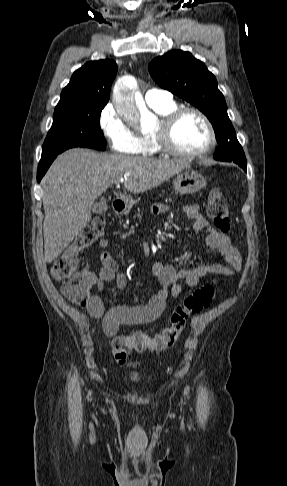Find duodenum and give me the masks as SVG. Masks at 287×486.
<instances>
[{
    "label": "duodenum",
    "mask_w": 287,
    "mask_h": 486,
    "mask_svg": "<svg viewBox=\"0 0 287 486\" xmlns=\"http://www.w3.org/2000/svg\"><path fill=\"white\" fill-rule=\"evenodd\" d=\"M112 207L115 213L120 214L125 209V203L121 199H116L113 201Z\"/></svg>",
    "instance_id": "410a0bca"
}]
</instances>
